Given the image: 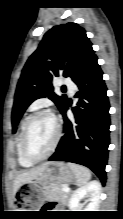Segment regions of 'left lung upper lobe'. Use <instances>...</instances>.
Here are the masks:
<instances>
[{"mask_svg": "<svg viewBox=\"0 0 123 219\" xmlns=\"http://www.w3.org/2000/svg\"><path fill=\"white\" fill-rule=\"evenodd\" d=\"M94 56L92 44L78 24L69 22L50 29L27 60L18 81L12 110L13 133L27 107L38 98L48 97L61 111L67 97L53 92L52 79L63 75L73 80Z\"/></svg>", "mask_w": 123, "mask_h": 219, "instance_id": "obj_1", "label": "left lung upper lobe"}]
</instances>
